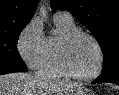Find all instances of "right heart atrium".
Returning a JSON list of instances; mask_svg holds the SVG:
<instances>
[{"label":"right heart atrium","mask_w":119,"mask_h":95,"mask_svg":"<svg viewBox=\"0 0 119 95\" xmlns=\"http://www.w3.org/2000/svg\"><path fill=\"white\" fill-rule=\"evenodd\" d=\"M46 39L37 19H32L20 32L17 49L28 68L39 69L44 56Z\"/></svg>","instance_id":"obj_1"}]
</instances>
